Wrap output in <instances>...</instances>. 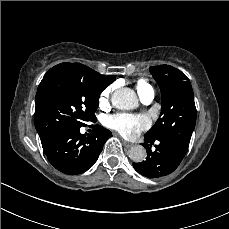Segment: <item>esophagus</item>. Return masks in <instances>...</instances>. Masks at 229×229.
<instances>
[{
  "instance_id": "34e87169",
  "label": "esophagus",
  "mask_w": 229,
  "mask_h": 229,
  "mask_svg": "<svg viewBox=\"0 0 229 229\" xmlns=\"http://www.w3.org/2000/svg\"><path fill=\"white\" fill-rule=\"evenodd\" d=\"M122 142H123L124 147L127 149L131 148L134 145L132 142H128L125 140H122Z\"/></svg>"
}]
</instances>
